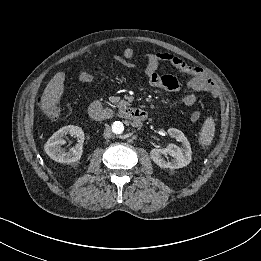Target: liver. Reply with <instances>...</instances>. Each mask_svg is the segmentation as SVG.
I'll use <instances>...</instances> for the list:
<instances>
[{"label":"liver","mask_w":261,"mask_h":261,"mask_svg":"<svg viewBox=\"0 0 261 261\" xmlns=\"http://www.w3.org/2000/svg\"><path fill=\"white\" fill-rule=\"evenodd\" d=\"M65 72H57L47 84L41 97V110L56 106L64 92Z\"/></svg>","instance_id":"6515ba94"}]
</instances>
